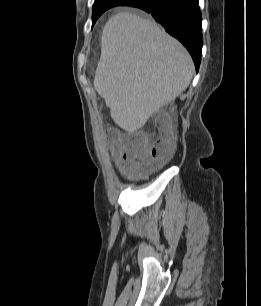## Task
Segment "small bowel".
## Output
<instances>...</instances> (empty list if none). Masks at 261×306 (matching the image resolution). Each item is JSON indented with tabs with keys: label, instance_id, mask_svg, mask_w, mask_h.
<instances>
[{
	"label": "small bowel",
	"instance_id": "1",
	"mask_svg": "<svg viewBox=\"0 0 261 306\" xmlns=\"http://www.w3.org/2000/svg\"><path fill=\"white\" fill-rule=\"evenodd\" d=\"M121 164L124 169L126 170L130 169L134 172H141L144 168V164L134 160H130L125 153H124V158H121Z\"/></svg>",
	"mask_w": 261,
	"mask_h": 306
}]
</instances>
